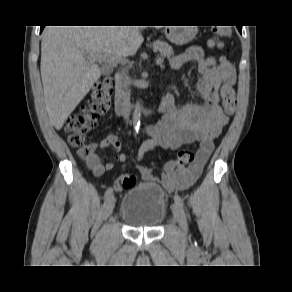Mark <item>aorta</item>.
<instances>
[{"instance_id": "1", "label": "aorta", "mask_w": 292, "mask_h": 292, "mask_svg": "<svg viewBox=\"0 0 292 292\" xmlns=\"http://www.w3.org/2000/svg\"><path fill=\"white\" fill-rule=\"evenodd\" d=\"M140 116H141V103L137 101L135 104L134 112H133V122L134 124L140 123Z\"/></svg>"}]
</instances>
